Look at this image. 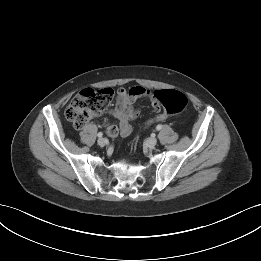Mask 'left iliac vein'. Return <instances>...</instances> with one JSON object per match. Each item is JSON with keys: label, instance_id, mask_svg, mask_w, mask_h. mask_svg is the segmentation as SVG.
Instances as JSON below:
<instances>
[{"label": "left iliac vein", "instance_id": "obj_1", "mask_svg": "<svg viewBox=\"0 0 261 261\" xmlns=\"http://www.w3.org/2000/svg\"><path fill=\"white\" fill-rule=\"evenodd\" d=\"M146 144L148 147H154L157 144V139L155 137H150L147 139Z\"/></svg>", "mask_w": 261, "mask_h": 261}]
</instances>
